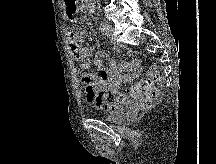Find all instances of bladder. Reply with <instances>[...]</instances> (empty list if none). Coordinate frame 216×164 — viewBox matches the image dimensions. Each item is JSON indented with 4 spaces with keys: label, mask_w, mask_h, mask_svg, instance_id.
<instances>
[{
    "label": "bladder",
    "mask_w": 216,
    "mask_h": 164,
    "mask_svg": "<svg viewBox=\"0 0 216 164\" xmlns=\"http://www.w3.org/2000/svg\"><path fill=\"white\" fill-rule=\"evenodd\" d=\"M129 108L127 106H118L104 120L112 124H122L128 116Z\"/></svg>",
    "instance_id": "1"
}]
</instances>
